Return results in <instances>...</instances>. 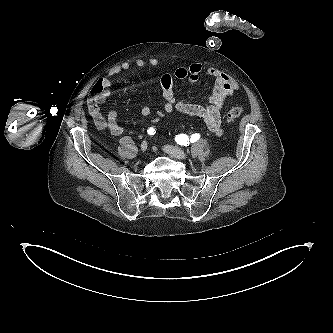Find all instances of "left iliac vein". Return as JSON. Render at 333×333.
<instances>
[{
	"label": "left iliac vein",
	"instance_id": "4c4485c4",
	"mask_svg": "<svg viewBox=\"0 0 333 333\" xmlns=\"http://www.w3.org/2000/svg\"><path fill=\"white\" fill-rule=\"evenodd\" d=\"M164 151L176 159L182 160L187 157V154L185 151H183L182 149L175 147V146L166 145V146H164Z\"/></svg>",
	"mask_w": 333,
	"mask_h": 333
}]
</instances>
